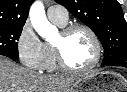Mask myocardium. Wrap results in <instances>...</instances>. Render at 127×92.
I'll return each instance as SVG.
<instances>
[{
	"label": "myocardium",
	"mask_w": 127,
	"mask_h": 92,
	"mask_svg": "<svg viewBox=\"0 0 127 92\" xmlns=\"http://www.w3.org/2000/svg\"><path fill=\"white\" fill-rule=\"evenodd\" d=\"M76 30L86 31L93 41L95 54H94L93 60L90 62L89 65H87L86 67H83V68H73L67 63V61L64 57L62 44L61 43H53L52 47L54 50L57 66L60 70L67 72V73L82 74V73H86V72L92 70L99 64L101 57H102V44L99 39V36L94 31V29H92L90 26L83 24V23H72V24L64 26L60 32L61 38L65 39L72 32H74Z\"/></svg>",
	"instance_id": "f54148a6"
}]
</instances>
